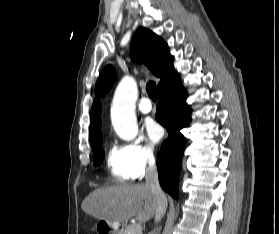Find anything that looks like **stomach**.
<instances>
[{
	"instance_id": "0dacf381",
	"label": "stomach",
	"mask_w": 279,
	"mask_h": 234,
	"mask_svg": "<svg viewBox=\"0 0 279 234\" xmlns=\"http://www.w3.org/2000/svg\"><path fill=\"white\" fill-rule=\"evenodd\" d=\"M95 229L97 234H122L123 227L120 223L108 222L105 220H99Z\"/></svg>"
}]
</instances>
